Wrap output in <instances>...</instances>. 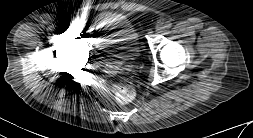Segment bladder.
<instances>
[{
    "label": "bladder",
    "mask_w": 253,
    "mask_h": 138,
    "mask_svg": "<svg viewBox=\"0 0 253 138\" xmlns=\"http://www.w3.org/2000/svg\"><path fill=\"white\" fill-rule=\"evenodd\" d=\"M133 34V28L127 21L112 18L101 28L100 42L109 49L116 47L122 49L126 55H130Z\"/></svg>",
    "instance_id": "bladder-1"
}]
</instances>
